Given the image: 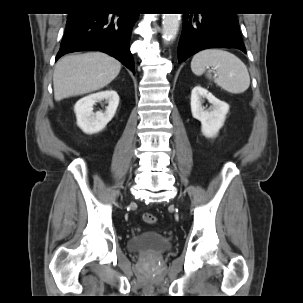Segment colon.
Listing matches in <instances>:
<instances>
[{
  "label": "colon",
  "mask_w": 303,
  "mask_h": 303,
  "mask_svg": "<svg viewBox=\"0 0 303 303\" xmlns=\"http://www.w3.org/2000/svg\"><path fill=\"white\" fill-rule=\"evenodd\" d=\"M143 220L147 224H155L157 219L153 214L145 213L143 215Z\"/></svg>",
  "instance_id": "colon-1"
}]
</instances>
